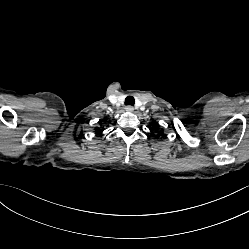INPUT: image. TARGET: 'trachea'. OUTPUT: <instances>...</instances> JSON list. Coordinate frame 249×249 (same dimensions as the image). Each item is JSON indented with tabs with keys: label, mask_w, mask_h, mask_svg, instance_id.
Masks as SVG:
<instances>
[{
	"label": "trachea",
	"mask_w": 249,
	"mask_h": 249,
	"mask_svg": "<svg viewBox=\"0 0 249 249\" xmlns=\"http://www.w3.org/2000/svg\"><path fill=\"white\" fill-rule=\"evenodd\" d=\"M135 103V99L132 96H127L125 99V105H131L133 106Z\"/></svg>",
	"instance_id": "obj_1"
}]
</instances>
